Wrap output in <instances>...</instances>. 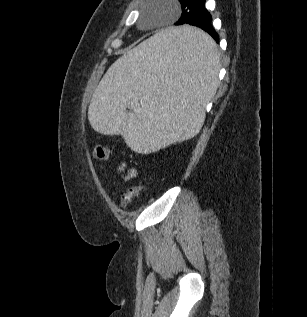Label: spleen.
<instances>
[{
  "label": "spleen",
  "instance_id": "obj_1",
  "mask_svg": "<svg viewBox=\"0 0 307 317\" xmlns=\"http://www.w3.org/2000/svg\"><path fill=\"white\" fill-rule=\"evenodd\" d=\"M218 70L216 44L202 29H160L107 71L91 99L90 123L102 134H121L138 155L175 146L202 128Z\"/></svg>",
  "mask_w": 307,
  "mask_h": 317
}]
</instances>
